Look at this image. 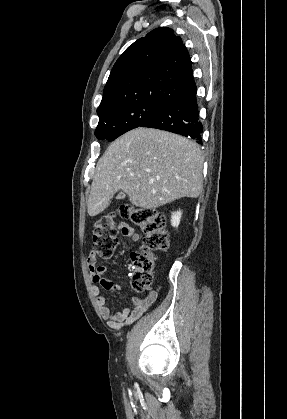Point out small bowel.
Listing matches in <instances>:
<instances>
[{
  "mask_svg": "<svg viewBox=\"0 0 287 419\" xmlns=\"http://www.w3.org/2000/svg\"><path fill=\"white\" fill-rule=\"evenodd\" d=\"M120 231L124 236L130 237L133 241H140L141 235L131 228L126 223H121ZM88 269L91 273V280L94 284L93 294L96 297L97 306L100 310L101 316L107 320L109 326L112 328H121L128 325L140 318L156 300V293L151 292L144 298L132 297L129 299V305L125 306L121 311L111 312L110 308L106 305L105 298L101 295L99 286L106 290H121V285L108 279L106 277L107 269L104 266L97 265L95 255L89 256L87 260ZM119 263L116 264V268Z\"/></svg>",
  "mask_w": 287,
  "mask_h": 419,
  "instance_id": "obj_1",
  "label": "small bowel"
}]
</instances>
